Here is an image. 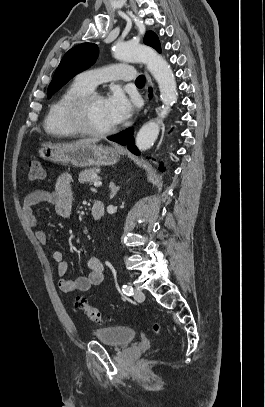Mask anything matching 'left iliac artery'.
<instances>
[{
	"instance_id": "left-iliac-artery-1",
	"label": "left iliac artery",
	"mask_w": 265,
	"mask_h": 407,
	"mask_svg": "<svg viewBox=\"0 0 265 407\" xmlns=\"http://www.w3.org/2000/svg\"><path fill=\"white\" fill-rule=\"evenodd\" d=\"M122 291L124 294H126L128 296L133 295V288L131 286L123 285Z\"/></svg>"
}]
</instances>
